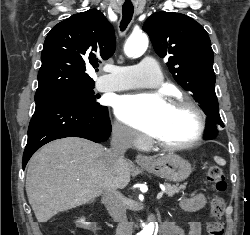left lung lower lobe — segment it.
<instances>
[{
  "label": "left lung lower lobe",
  "mask_w": 250,
  "mask_h": 235,
  "mask_svg": "<svg viewBox=\"0 0 250 235\" xmlns=\"http://www.w3.org/2000/svg\"><path fill=\"white\" fill-rule=\"evenodd\" d=\"M207 120H208L209 123H208V126H207L206 130H205V132L207 134L206 138H211L217 132L216 131V126H218V124L216 123V121L213 118H208L207 117Z\"/></svg>",
  "instance_id": "obj_1"
}]
</instances>
